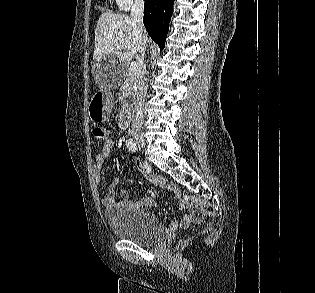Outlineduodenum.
<instances>
[{
	"label": "duodenum",
	"mask_w": 315,
	"mask_h": 293,
	"mask_svg": "<svg viewBox=\"0 0 315 293\" xmlns=\"http://www.w3.org/2000/svg\"><path fill=\"white\" fill-rule=\"evenodd\" d=\"M131 123V112L128 108H124L120 115L119 124L122 128H127Z\"/></svg>",
	"instance_id": "duodenum-1"
}]
</instances>
